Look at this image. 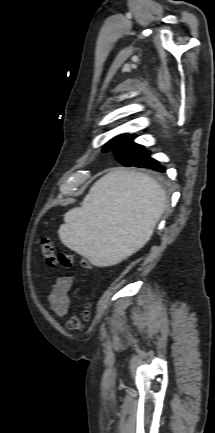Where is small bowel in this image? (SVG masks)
I'll list each match as a JSON object with an SVG mask.
<instances>
[{"mask_svg": "<svg viewBox=\"0 0 215 433\" xmlns=\"http://www.w3.org/2000/svg\"><path fill=\"white\" fill-rule=\"evenodd\" d=\"M73 285V277L69 275L58 276L48 296V302L57 317H63L69 310V292Z\"/></svg>", "mask_w": 215, "mask_h": 433, "instance_id": "small-bowel-1", "label": "small bowel"}]
</instances>
